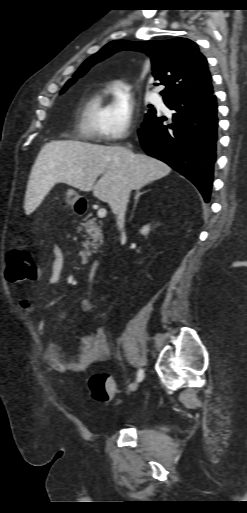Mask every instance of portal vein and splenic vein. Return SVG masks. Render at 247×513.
Masks as SVG:
<instances>
[{"instance_id": "1", "label": "portal vein and splenic vein", "mask_w": 247, "mask_h": 513, "mask_svg": "<svg viewBox=\"0 0 247 513\" xmlns=\"http://www.w3.org/2000/svg\"><path fill=\"white\" fill-rule=\"evenodd\" d=\"M106 214H107V211L104 208L99 209L97 212V215L99 218H104L106 216Z\"/></svg>"}]
</instances>
